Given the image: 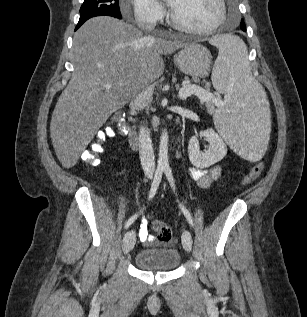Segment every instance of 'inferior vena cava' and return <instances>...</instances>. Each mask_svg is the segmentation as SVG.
Here are the masks:
<instances>
[{"label": "inferior vena cava", "mask_w": 307, "mask_h": 317, "mask_svg": "<svg viewBox=\"0 0 307 317\" xmlns=\"http://www.w3.org/2000/svg\"><path fill=\"white\" fill-rule=\"evenodd\" d=\"M154 24L155 22H152L146 28L151 29ZM148 39L153 40L152 37H148ZM139 155L144 174L152 177L155 172V155L150 132L145 126H141L139 129Z\"/></svg>", "instance_id": "602c4592"}]
</instances>
